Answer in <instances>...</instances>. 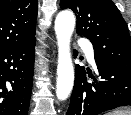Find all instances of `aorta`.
Returning a JSON list of instances; mask_svg holds the SVG:
<instances>
[{
    "label": "aorta",
    "instance_id": "762f6f07",
    "mask_svg": "<svg viewBox=\"0 0 131 115\" xmlns=\"http://www.w3.org/2000/svg\"><path fill=\"white\" fill-rule=\"evenodd\" d=\"M75 27V16L70 11H61L55 19L58 45L56 96L66 100L74 84V68L70 53V40Z\"/></svg>",
    "mask_w": 131,
    "mask_h": 115
}]
</instances>
